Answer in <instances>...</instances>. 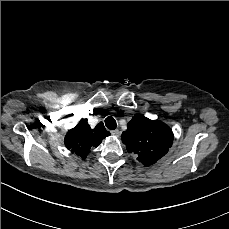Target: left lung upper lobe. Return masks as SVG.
<instances>
[{
  "instance_id": "1",
  "label": "left lung upper lobe",
  "mask_w": 229,
  "mask_h": 229,
  "mask_svg": "<svg viewBox=\"0 0 229 229\" xmlns=\"http://www.w3.org/2000/svg\"><path fill=\"white\" fill-rule=\"evenodd\" d=\"M122 141L128 152L135 154L137 160L148 167L168 152L173 143V132L159 120L136 114L122 133Z\"/></svg>"
}]
</instances>
